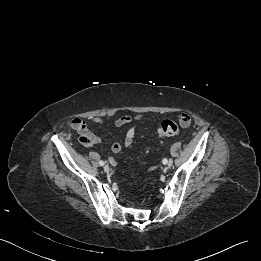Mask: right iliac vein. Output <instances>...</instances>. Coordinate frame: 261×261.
Instances as JSON below:
<instances>
[{
    "instance_id": "right-iliac-vein-1",
    "label": "right iliac vein",
    "mask_w": 261,
    "mask_h": 261,
    "mask_svg": "<svg viewBox=\"0 0 261 261\" xmlns=\"http://www.w3.org/2000/svg\"><path fill=\"white\" fill-rule=\"evenodd\" d=\"M103 169H104L105 172H109V170H110V168H109L108 165H105V166L103 167Z\"/></svg>"
}]
</instances>
